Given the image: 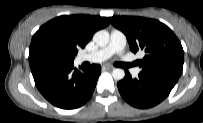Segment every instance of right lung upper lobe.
Wrapping results in <instances>:
<instances>
[{"label":"right lung upper lobe","mask_w":203,"mask_h":123,"mask_svg":"<svg viewBox=\"0 0 203 123\" xmlns=\"http://www.w3.org/2000/svg\"><path fill=\"white\" fill-rule=\"evenodd\" d=\"M109 24L105 17L91 15H63L56 17L43 26L36 33L52 32L63 38L77 53L84 48L93 34Z\"/></svg>","instance_id":"1"}]
</instances>
